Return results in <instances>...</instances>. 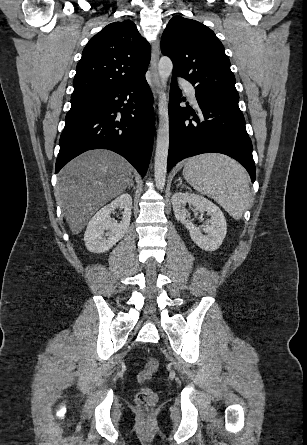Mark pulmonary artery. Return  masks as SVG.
<instances>
[{"mask_svg": "<svg viewBox=\"0 0 307 445\" xmlns=\"http://www.w3.org/2000/svg\"><path fill=\"white\" fill-rule=\"evenodd\" d=\"M179 87H180L181 90H190L191 87H192V84H191L190 81H181L180 84H179ZM189 97H190V99H191L193 102H196V98H195V92H194V90H192V91L189 93Z\"/></svg>", "mask_w": 307, "mask_h": 445, "instance_id": "e3ab8cb5", "label": "pulmonary artery"}]
</instances>
